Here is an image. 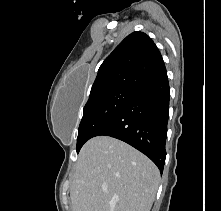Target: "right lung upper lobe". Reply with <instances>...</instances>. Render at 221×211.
I'll use <instances>...</instances> for the list:
<instances>
[{
  "instance_id": "obj_1",
  "label": "right lung upper lobe",
  "mask_w": 221,
  "mask_h": 211,
  "mask_svg": "<svg viewBox=\"0 0 221 211\" xmlns=\"http://www.w3.org/2000/svg\"><path fill=\"white\" fill-rule=\"evenodd\" d=\"M165 74L164 61L152 39L143 32H133L104 60L89 98L117 88L134 89Z\"/></svg>"
}]
</instances>
